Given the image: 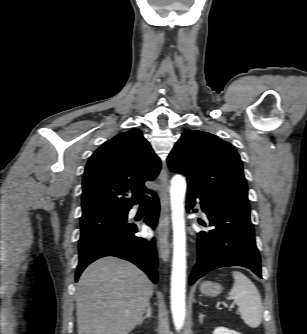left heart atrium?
I'll use <instances>...</instances> for the list:
<instances>
[{
	"label": "left heart atrium",
	"instance_id": "39dd6f15",
	"mask_svg": "<svg viewBox=\"0 0 307 334\" xmlns=\"http://www.w3.org/2000/svg\"><path fill=\"white\" fill-rule=\"evenodd\" d=\"M162 229L160 227L153 229V228H148L147 229V234L150 237H155V236H160Z\"/></svg>",
	"mask_w": 307,
	"mask_h": 334
}]
</instances>
